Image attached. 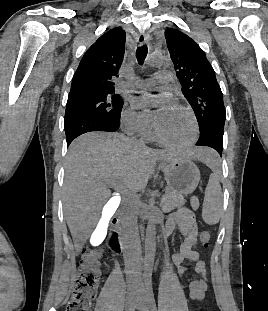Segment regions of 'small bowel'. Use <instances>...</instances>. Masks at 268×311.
<instances>
[{
    "label": "small bowel",
    "mask_w": 268,
    "mask_h": 311,
    "mask_svg": "<svg viewBox=\"0 0 268 311\" xmlns=\"http://www.w3.org/2000/svg\"><path fill=\"white\" fill-rule=\"evenodd\" d=\"M176 228L184 236V240L178 252L172 255V262L177 266L179 275L189 271V268L183 265L185 260L195 263L194 271L200 278L190 282V298L195 301L202 300L208 287L207 266L196 250L198 227L195 215L190 209L181 208L174 212L165 223L164 233L171 236Z\"/></svg>",
    "instance_id": "1"
}]
</instances>
